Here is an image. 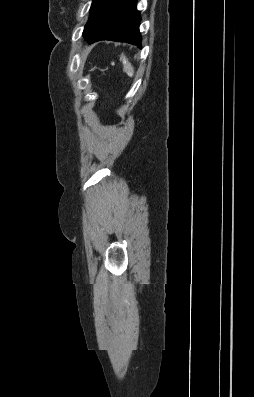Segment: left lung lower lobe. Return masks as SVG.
<instances>
[{
  "instance_id": "obj_1",
  "label": "left lung lower lobe",
  "mask_w": 254,
  "mask_h": 397,
  "mask_svg": "<svg viewBox=\"0 0 254 397\" xmlns=\"http://www.w3.org/2000/svg\"><path fill=\"white\" fill-rule=\"evenodd\" d=\"M136 3L137 0H109L99 25L86 41L91 44L100 40H113L141 48L140 15Z\"/></svg>"
}]
</instances>
